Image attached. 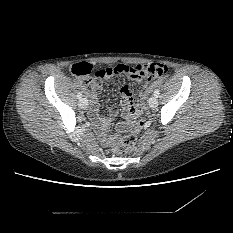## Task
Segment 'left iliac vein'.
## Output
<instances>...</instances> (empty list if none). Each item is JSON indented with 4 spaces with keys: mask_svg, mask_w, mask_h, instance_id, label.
I'll list each match as a JSON object with an SVG mask.
<instances>
[{
    "mask_svg": "<svg viewBox=\"0 0 233 233\" xmlns=\"http://www.w3.org/2000/svg\"><path fill=\"white\" fill-rule=\"evenodd\" d=\"M148 103L150 105V107L154 108L157 106L158 104V100H157V97L156 96H151L148 100Z\"/></svg>",
    "mask_w": 233,
    "mask_h": 233,
    "instance_id": "left-iliac-vein-1",
    "label": "left iliac vein"
}]
</instances>
